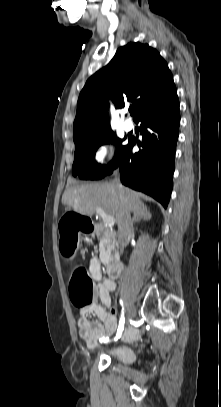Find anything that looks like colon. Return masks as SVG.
Returning a JSON list of instances; mask_svg holds the SVG:
<instances>
[{
    "label": "colon",
    "instance_id": "colon-1",
    "mask_svg": "<svg viewBox=\"0 0 221 407\" xmlns=\"http://www.w3.org/2000/svg\"><path fill=\"white\" fill-rule=\"evenodd\" d=\"M65 215L59 218V232L62 251L69 256L76 248L77 239H94V231H99L100 224L93 222L92 216H80L78 210H67ZM69 292L76 307L85 308L90 304L93 295V281L84 268L78 267L74 270Z\"/></svg>",
    "mask_w": 221,
    "mask_h": 407
}]
</instances>
